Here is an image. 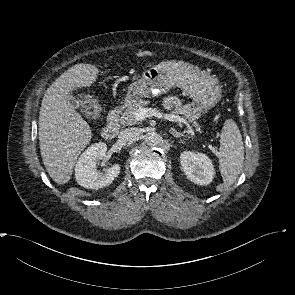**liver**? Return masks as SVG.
Returning <instances> with one entry per match:
<instances>
[{
  "instance_id": "1",
  "label": "liver",
  "mask_w": 295,
  "mask_h": 295,
  "mask_svg": "<svg viewBox=\"0 0 295 295\" xmlns=\"http://www.w3.org/2000/svg\"><path fill=\"white\" fill-rule=\"evenodd\" d=\"M152 55L149 51L136 54L138 57ZM98 72L93 64H76L45 91L38 123L40 151L48 174L57 184L70 180L79 154L92 138L88 123L69 103L70 92L90 87Z\"/></svg>"
}]
</instances>
